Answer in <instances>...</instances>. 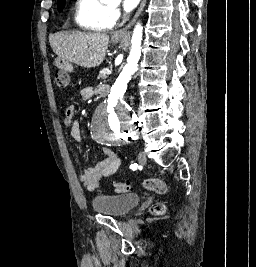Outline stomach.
Listing matches in <instances>:
<instances>
[{
    "mask_svg": "<svg viewBox=\"0 0 256 267\" xmlns=\"http://www.w3.org/2000/svg\"><path fill=\"white\" fill-rule=\"evenodd\" d=\"M116 40H119L118 36ZM53 67H72V62H53Z\"/></svg>",
    "mask_w": 256,
    "mask_h": 267,
    "instance_id": "0dacf381",
    "label": "stomach"
}]
</instances>
